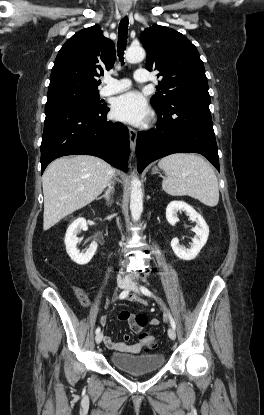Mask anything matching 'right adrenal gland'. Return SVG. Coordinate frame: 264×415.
<instances>
[{
	"instance_id": "1",
	"label": "right adrenal gland",
	"mask_w": 264,
	"mask_h": 415,
	"mask_svg": "<svg viewBox=\"0 0 264 415\" xmlns=\"http://www.w3.org/2000/svg\"><path fill=\"white\" fill-rule=\"evenodd\" d=\"M114 193V185L113 184H108V188L105 191V194H103L102 196H100L98 198V200L104 198L107 202V204H111V195Z\"/></svg>"
}]
</instances>
